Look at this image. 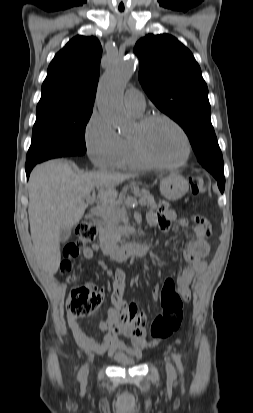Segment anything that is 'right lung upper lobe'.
<instances>
[{"instance_id": "right-lung-upper-lobe-1", "label": "right lung upper lobe", "mask_w": 253, "mask_h": 413, "mask_svg": "<svg viewBox=\"0 0 253 413\" xmlns=\"http://www.w3.org/2000/svg\"><path fill=\"white\" fill-rule=\"evenodd\" d=\"M101 44L76 36L60 50L47 71L37 114L56 110H92L99 79Z\"/></svg>"}]
</instances>
